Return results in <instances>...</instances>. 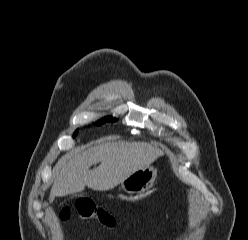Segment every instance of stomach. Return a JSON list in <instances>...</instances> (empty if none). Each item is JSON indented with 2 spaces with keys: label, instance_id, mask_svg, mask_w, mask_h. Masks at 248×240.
<instances>
[{
  "label": "stomach",
  "instance_id": "stomach-1",
  "mask_svg": "<svg viewBox=\"0 0 248 240\" xmlns=\"http://www.w3.org/2000/svg\"><path fill=\"white\" fill-rule=\"evenodd\" d=\"M157 178V169L153 166L137 170L124 179L121 189L129 194H141L151 189Z\"/></svg>",
  "mask_w": 248,
  "mask_h": 240
}]
</instances>
